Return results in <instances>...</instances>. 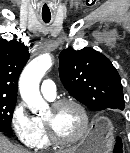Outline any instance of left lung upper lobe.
<instances>
[{
  "mask_svg": "<svg viewBox=\"0 0 130 153\" xmlns=\"http://www.w3.org/2000/svg\"><path fill=\"white\" fill-rule=\"evenodd\" d=\"M59 74L66 90L91 110L124 109L120 76L100 52L90 47L64 49L59 55Z\"/></svg>",
  "mask_w": 130,
  "mask_h": 153,
  "instance_id": "5c2ea615",
  "label": "left lung upper lobe"
}]
</instances>
